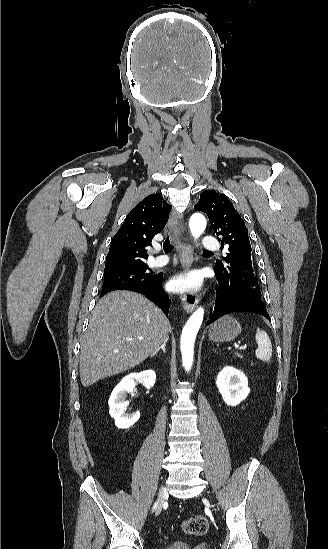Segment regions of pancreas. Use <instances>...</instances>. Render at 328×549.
Returning <instances> with one entry per match:
<instances>
[{"instance_id":"obj_1","label":"pancreas","mask_w":328,"mask_h":549,"mask_svg":"<svg viewBox=\"0 0 328 549\" xmlns=\"http://www.w3.org/2000/svg\"><path fill=\"white\" fill-rule=\"evenodd\" d=\"M235 355H237V357H240V359H243L242 355H239V353H235Z\"/></svg>"}]
</instances>
